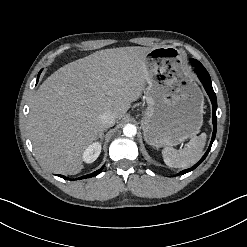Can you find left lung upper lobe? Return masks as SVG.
<instances>
[{
  "instance_id": "left-lung-upper-lobe-1",
  "label": "left lung upper lobe",
  "mask_w": 247,
  "mask_h": 247,
  "mask_svg": "<svg viewBox=\"0 0 247 247\" xmlns=\"http://www.w3.org/2000/svg\"><path fill=\"white\" fill-rule=\"evenodd\" d=\"M191 63H200L198 60L196 59H190ZM204 67V66H203ZM207 71V70H206Z\"/></svg>"
}]
</instances>
